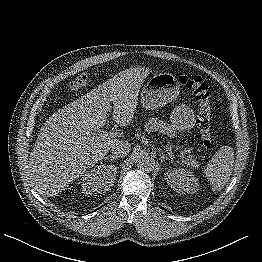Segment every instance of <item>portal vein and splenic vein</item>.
Returning a JSON list of instances; mask_svg holds the SVG:
<instances>
[{
	"label": "portal vein and splenic vein",
	"instance_id": "1",
	"mask_svg": "<svg viewBox=\"0 0 262 262\" xmlns=\"http://www.w3.org/2000/svg\"><path fill=\"white\" fill-rule=\"evenodd\" d=\"M118 132H107L106 130H99V133H97V135L95 136L96 140H104V139H110V138H114L116 136H118ZM190 160V161H189ZM188 164H195V161H193L192 159H187Z\"/></svg>",
	"mask_w": 262,
	"mask_h": 262
}]
</instances>
